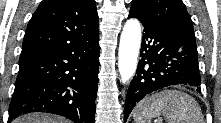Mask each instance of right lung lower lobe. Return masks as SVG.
Wrapping results in <instances>:
<instances>
[{"label":"right lung lower lobe","instance_id":"98d812e1","mask_svg":"<svg viewBox=\"0 0 221 123\" xmlns=\"http://www.w3.org/2000/svg\"><path fill=\"white\" fill-rule=\"evenodd\" d=\"M99 35L61 49L22 53L9 107V121L29 112L94 123L98 88Z\"/></svg>","mask_w":221,"mask_h":123}]
</instances>
